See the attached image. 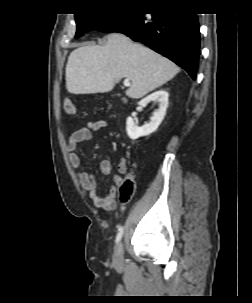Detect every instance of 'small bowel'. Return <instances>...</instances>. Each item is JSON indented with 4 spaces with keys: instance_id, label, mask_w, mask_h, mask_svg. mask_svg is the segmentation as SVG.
I'll list each match as a JSON object with an SVG mask.
<instances>
[{
    "instance_id": "1",
    "label": "small bowel",
    "mask_w": 252,
    "mask_h": 303,
    "mask_svg": "<svg viewBox=\"0 0 252 303\" xmlns=\"http://www.w3.org/2000/svg\"><path fill=\"white\" fill-rule=\"evenodd\" d=\"M108 127V123L105 120H92L87 121L85 125L72 132L69 137L67 152L71 166L73 167L78 182L83 190H85L89 198L92 200L95 206L112 210L116 207V195L117 189L121 186L123 181L122 174L126 170V164L121 161L118 164V173L113 175V184L109 188L106 196L102 197L97 191V184L93 177L81 170V161L77 154L78 145L91 139L94 132L104 130ZM100 171L104 175H109L112 172V163L110 160H102L100 162Z\"/></svg>"
}]
</instances>
